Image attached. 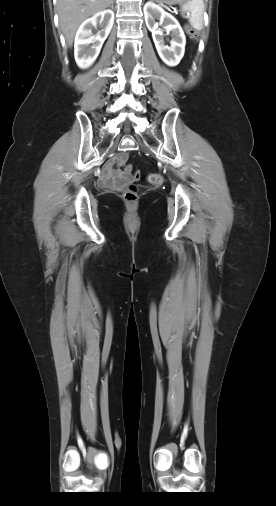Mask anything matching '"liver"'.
<instances>
[{
  "instance_id": "obj_1",
  "label": "liver",
  "mask_w": 276,
  "mask_h": 506,
  "mask_svg": "<svg viewBox=\"0 0 276 506\" xmlns=\"http://www.w3.org/2000/svg\"><path fill=\"white\" fill-rule=\"evenodd\" d=\"M112 3L113 0H58L59 24L67 44L72 45L75 33L84 20Z\"/></svg>"
}]
</instances>
